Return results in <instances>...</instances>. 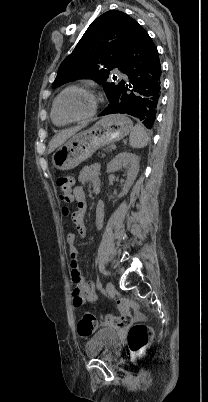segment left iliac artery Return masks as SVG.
<instances>
[{
    "label": "left iliac artery",
    "mask_w": 208,
    "mask_h": 402,
    "mask_svg": "<svg viewBox=\"0 0 208 402\" xmlns=\"http://www.w3.org/2000/svg\"><path fill=\"white\" fill-rule=\"evenodd\" d=\"M97 288H98V290H102V283L98 280L97 281Z\"/></svg>",
    "instance_id": "1"
}]
</instances>
